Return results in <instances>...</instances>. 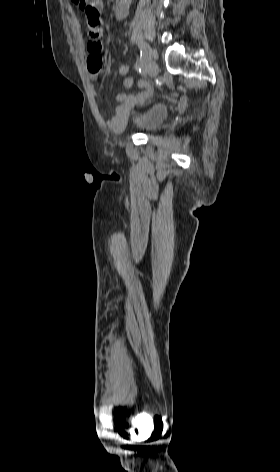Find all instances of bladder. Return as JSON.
Segmentation results:
<instances>
[{
  "mask_svg": "<svg viewBox=\"0 0 280 472\" xmlns=\"http://www.w3.org/2000/svg\"><path fill=\"white\" fill-rule=\"evenodd\" d=\"M167 108L162 104L150 107H137L130 113V122L139 132L149 133L155 131L166 119Z\"/></svg>",
  "mask_w": 280,
  "mask_h": 472,
  "instance_id": "31cf9c89",
  "label": "bladder"
}]
</instances>
